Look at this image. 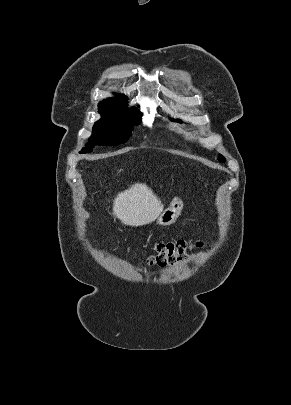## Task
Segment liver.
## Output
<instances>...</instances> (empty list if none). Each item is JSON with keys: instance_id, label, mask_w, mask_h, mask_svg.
<instances>
[{"instance_id": "6515ba94", "label": "liver", "mask_w": 291, "mask_h": 405, "mask_svg": "<svg viewBox=\"0 0 291 405\" xmlns=\"http://www.w3.org/2000/svg\"><path fill=\"white\" fill-rule=\"evenodd\" d=\"M163 211L160 199L146 184H134L114 199L113 215L129 226H143L155 221Z\"/></svg>"}]
</instances>
